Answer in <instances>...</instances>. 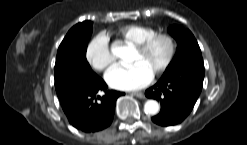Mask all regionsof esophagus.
Here are the masks:
<instances>
[{
	"instance_id": "esophagus-1",
	"label": "esophagus",
	"mask_w": 247,
	"mask_h": 145,
	"mask_svg": "<svg viewBox=\"0 0 247 145\" xmlns=\"http://www.w3.org/2000/svg\"><path fill=\"white\" fill-rule=\"evenodd\" d=\"M132 95L136 96L137 98L144 99L145 95L143 92H133Z\"/></svg>"
}]
</instances>
